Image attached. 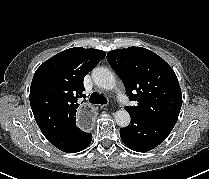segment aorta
Returning <instances> with one entry per match:
<instances>
[{
	"label": "aorta",
	"mask_w": 209,
	"mask_h": 179,
	"mask_svg": "<svg viewBox=\"0 0 209 179\" xmlns=\"http://www.w3.org/2000/svg\"><path fill=\"white\" fill-rule=\"evenodd\" d=\"M92 78L95 83L100 88L111 90L116 86V79L112 71L108 68L97 67L92 72ZM130 115L124 110H118L115 113V121L120 127H126L130 123Z\"/></svg>",
	"instance_id": "aorta-1"
}]
</instances>
